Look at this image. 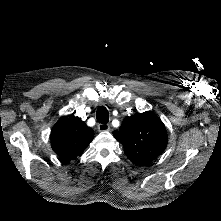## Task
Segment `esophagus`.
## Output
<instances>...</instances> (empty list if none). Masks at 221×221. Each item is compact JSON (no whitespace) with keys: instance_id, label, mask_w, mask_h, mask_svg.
<instances>
[{"instance_id":"obj_1","label":"esophagus","mask_w":221,"mask_h":221,"mask_svg":"<svg viewBox=\"0 0 221 221\" xmlns=\"http://www.w3.org/2000/svg\"><path fill=\"white\" fill-rule=\"evenodd\" d=\"M97 127H98V131H99V132H107V131L110 130L109 124L99 123Z\"/></svg>"}]
</instances>
